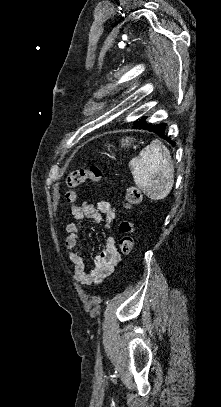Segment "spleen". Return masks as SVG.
<instances>
[{"label":"spleen","mask_w":221,"mask_h":407,"mask_svg":"<svg viewBox=\"0 0 221 407\" xmlns=\"http://www.w3.org/2000/svg\"><path fill=\"white\" fill-rule=\"evenodd\" d=\"M136 186L151 200L168 196L174 184V165L167 147L154 140L129 162Z\"/></svg>","instance_id":"1"}]
</instances>
